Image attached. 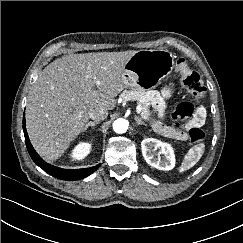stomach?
I'll list each match as a JSON object with an SVG mask.
<instances>
[{
	"label": "stomach",
	"mask_w": 243,
	"mask_h": 243,
	"mask_svg": "<svg viewBox=\"0 0 243 243\" xmlns=\"http://www.w3.org/2000/svg\"><path fill=\"white\" fill-rule=\"evenodd\" d=\"M174 65L172 53L168 50H140L126 62L122 81L124 87H155L168 76Z\"/></svg>",
	"instance_id": "0dacf381"
}]
</instances>
